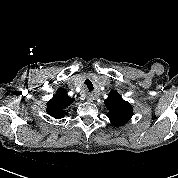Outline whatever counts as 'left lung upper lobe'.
Returning a JSON list of instances; mask_svg holds the SVG:
<instances>
[{"mask_svg":"<svg viewBox=\"0 0 178 178\" xmlns=\"http://www.w3.org/2000/svg\"><path fill=\"white\" fill-rule=\"evenodd\" d=\"M105 105L108 109L107 117L116 127L125 124L133 116V109L129 102L122 99L117 91L109 93L105 99Z\"/></svg>","mask_w":178,"mask_h":178,"instance_id":"left-lung-upper-lobe-1","label":"left lung upper lobe"}]
</instances>
